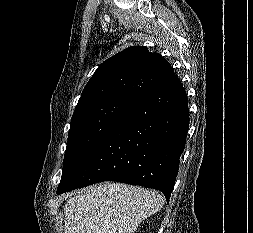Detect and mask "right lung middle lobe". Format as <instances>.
<instances>
[{"label":"right lung middle lobe","instance_id":"obj_1","mask_svg":"<svg viewBox=\"0 0 253 233\" xmlns=\"http://www.w3.org/2000/svg\"><path fill=\"white\" fill-rule=\"evenodd\" d=\"M134 102L129 98L112 97L75 109L61 180L113 129Z\"/></svg>","mask_w":253,"mask_h":233}]
</instances>
